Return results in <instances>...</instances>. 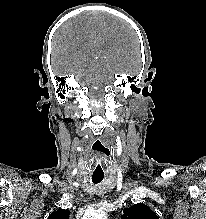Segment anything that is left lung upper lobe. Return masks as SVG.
Segmentation results:
<instances>
[{
  "label": "left lung upper lobe",
  "instance_id": "obj_1",
  "mask_svg": "<svg viewBox=\"0 0 206 219\" xmlns=\"http://www.w3.org/2000/svg\"><path fill=\"white\" fill-rule=\"evenodd\" d=\"M121 219H159V217L147 205L138 203L125 209Z\"/></svg>",
  "mask_w": 206,
  "mask_h": 219
}]
</instances>
